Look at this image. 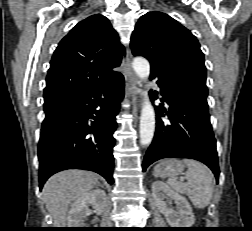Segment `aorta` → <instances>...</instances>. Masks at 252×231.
<instances>
[{
    "instance_id": "1",
    "label": "aorta",
    "mask_w": 252,
    "mask_h": 231,
    "mask_svg": "<svg viewBox=\"0 0 252 231\" xmlns=\"http://www.w3.org/2000/svg\"><path fill=\"white\" fill-rule=\"evenodd\" d=\"M132 67L137 76L144 80L150 75V64L143 57H137L132 62ZM155 131V111L149 100L148 94L144 93V103L140 116V143L143 146L151 144Z\"/></svg>"
}]
</instances>
